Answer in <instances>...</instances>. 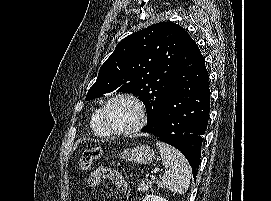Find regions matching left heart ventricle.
<instances>
[{
  "instance_id": "left-heart-ventricle-1",
  "label": "left heart ventricle",
  "mask_w": 271,
  "mask_h": 201,
  "mask_svg": "<svg viewBox=\"0 0 271 201\" xmlns=\"http://www.w3.org/2000/svg\"><path fill=\"white\" fill-rule=\"evenodd\" d=\"M107 117L115 129L126 130L138 122L139 112L135 104L130 100L117 99L108 106Z\"/></svg>"
}]
</instances>
